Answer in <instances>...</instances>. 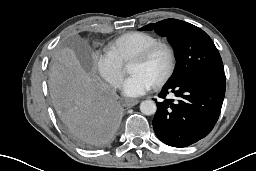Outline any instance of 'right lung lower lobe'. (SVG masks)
I'll list each match as a JSON object with an SVG mask.
<instances>
[{
	"label": "right lung lower lobe",
	"instance_id": "right-lung-lower-lobe-1",
	"mask_svg": "<svg viewBox=\"0 0 256 171\" xmlns=\"http://www.w3.org/2000/svg\"><path fill=\"white\" fill-rule=\"evenodd\" d=\"M69 135L85 146L110 142L121 121V108L111 87L98 83L54 103Z\"/></svg>",
	"mask_w": 256,
	"mask_h": 171
}]
</instances>
